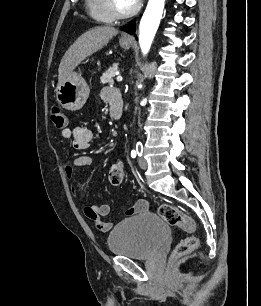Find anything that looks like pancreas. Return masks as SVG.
<instances>
[{
  "label": "pancreas",
  "instance_id": "cf45deb5",
  "mask_svg": "<svg viewBox=\"0 0 261 306\" xmlns=\"http://www.w3.org/2000/svg\"><path fill=\"white\" fill-rule=\"evenodd\" d=\"M118 70V65L114 64L110 67L100 78L102 84H113V77L115 76V72Z\"/></svg>",
  "mask_w": 261,
  "mask_h": 306
}]
</instances>
